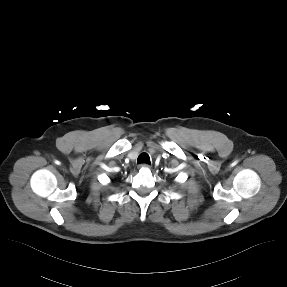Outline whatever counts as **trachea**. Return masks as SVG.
<instances>
[{"mask_svg": "<svg viewBox=\"0 0 287 287\" xmlns=\"http://www.w3.org/2000/svg\"><path fill=\"white\" fill-rule=\"evenodd\" d=\"M137 163L151 164L149 155L147 153H141L137 159Z\"/></svg>", "mask_w": 287, "mask_h": 287, "instance_id": "obj_1", "label": "trachea"}]
</instances>
